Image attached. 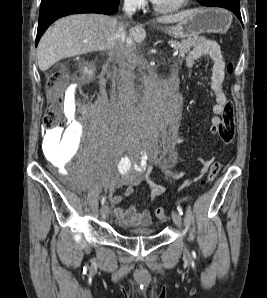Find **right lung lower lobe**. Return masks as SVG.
Here are the masks:
<instances>
[{
	"mask_svg": "<svg viewBox=\"0 0 267 298\" xmlns=\"http://www.w3.org/2000/svg\"><path fill=\"white\" fill-rule=\"evenodd\" d=\"M120 0H42L36 45L45 30L58 18L77 13L113 14Z\"/></svg>",
	"mask_w": 267,
	"mask_h": 298,
	"instance_id": "1",
	"label": "right lung lower lobe"
}]
</instances>
